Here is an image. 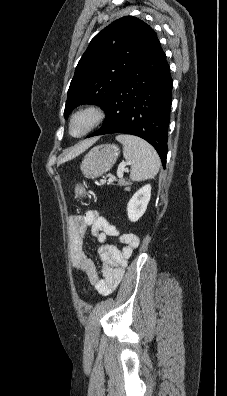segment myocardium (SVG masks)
<instances>
[{
    "label": "myocardium",
    "instance_id": "f54148a6",
    "mask_svg": "<svg viewBox=\"0 0 227 396\" xmlns=\"http://www.w3.org/2000/svg\"><path fill=\"white\" fill-rule=\"evenodd\" d=\"M106 112L102 106L96 103L85 104L74 110L68 119V132L74 138H81L90 133L98 127L105 119ZM86 119L87 123L84 130L79 134H74L72 131L74 122L79 119Z\"/></svg>",
    "mask_w": 227,
    "mask_h": 396
}]
</instances>
